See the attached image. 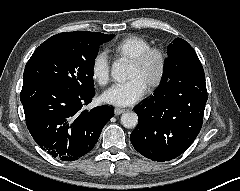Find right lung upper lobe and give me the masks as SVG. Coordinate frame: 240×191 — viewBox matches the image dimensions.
Wrapping results in <instances>:
<instances>
[{
	"instance_id": "right-lung-upper-lobe-1",
	"label": "right lung upper lobe",
	"mask_w": 240,
	"mask_h": 191,
	"mask_svg": "<svg viewBox=\"0 0 240 191\" xmlns=\"http://www.w3.org/2000/svg\"><path fill=\"white\" fill-rule=\"evenodd\" d=\"M55 36L66 38V39L94 40V39H102L109 35H106L100 32L75 31V32L60 33Z\"/></svg>"
}]
</instances>
